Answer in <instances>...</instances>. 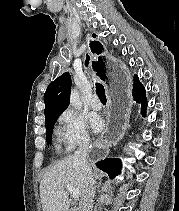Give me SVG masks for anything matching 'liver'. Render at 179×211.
<instances>
[{"instance_id":"1","label":"liver","mask_w":179,"mask_h":211,"mask_svg":"<svg viewBox=\"0 0 179 211\" xmlns=\"http://www.w3.org/2000/svg\"><path fill=\"white\" fill-rule=\"evenodd\" d=\"M69 184L83 198L86 182L84 174L73 155L63 158L45 172L40 182L43 211H70L71 201L66 189Z\"/></svg>"}]
</instances>
